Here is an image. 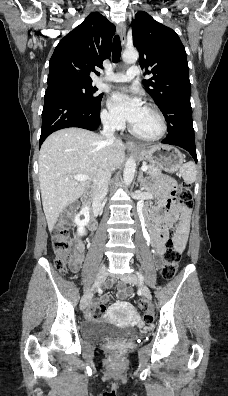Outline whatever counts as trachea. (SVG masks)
<instances>
[{
	"mask_svg": "<svg viewBox=\"0 0 228 396\" xmlns=\"http://www.w3.org/2000/svg\"><path fill=\"white\" fill-rule=\"evenodd\" d=\"M121 56V42L119 36H115L112 47V60L114 63H118Z\"/></svg>",
	"mask_w": 228,
	"mask_h": 396,
	"instance_id": "trachea-1",
	"label": "trachea"
}]
</instances>
